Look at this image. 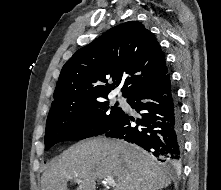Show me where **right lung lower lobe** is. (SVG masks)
<instances>
[{
  "label": "right lung lower lobe",
  "instance_id": "obj_1",
  "mask_svg": "<svg viewBox=\"0 0 221 190\" xmlns=\"http://www.w3.org/2000/svg\"><path fill=\"white\" fill-rule=\"evenodd\" d=\"M127 98L128 104L139 112V118L123 111L121 118L104 134L138 145L166 165L178 167L183 150L182 124L169 74Z\"/></svg>",
  "mask_w": 221,
  "mask_h": 190
}]
</instances>
